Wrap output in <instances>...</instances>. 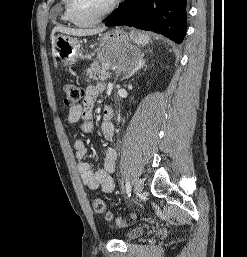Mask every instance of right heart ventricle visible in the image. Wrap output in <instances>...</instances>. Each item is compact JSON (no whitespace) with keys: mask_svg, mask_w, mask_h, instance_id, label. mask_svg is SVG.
<instances>
[{"mask_svg":"<svg viewBox=\"0 0 247 257\" xmlns=\"http://www.w3.org/2000/svg\"><path fill=\"white\" fill-rule=\"evenodd\" d=\"M61 3L63 7V12L61 16L62 20L68 23H74L68 10V0H61Z\"/></svg>","mask_w":247,"mask_h":257,"instance_id":"e07e8e85","label":"right heart ventricle"}]
</instances>
